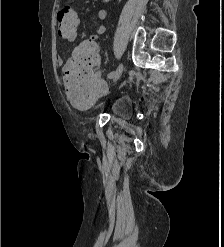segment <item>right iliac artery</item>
<instances>
[{
    "instance_id": "82829eb1",
    "label": "right iliac artery",
    "mask_w": 224,
    "mask_h": 247,
    "mask_svg": "<svg viewBox=\"0 0 224 247\" xmlns=\"http://www.w3.org/2000/svg\"><path fill=\"white\" fill-rule=\"evenodd\" d=\"M114 75V71L108 74V78H112Z\"/></svg>"
}]
</instances>
